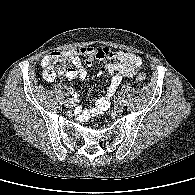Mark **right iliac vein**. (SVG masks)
Instances as JSON below:
<instances>
[{
    "label": "right iliac vein",
    "instance_id": "obj_1",
    "mask_svg": "<svg viewBox=\"0 0 195 195\" xmlns=\"http://www.w3.org/2000/svg\"><path fill=\"white\" fill-rule=\"evenodd\" d=\"M64 104H65L66 107L70 108L72 105H74V102H73L72 99H66Z\"/></svg>",
    "mask_w": 195,
    "mask_h": 195
}]
</instances>
